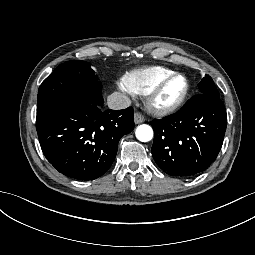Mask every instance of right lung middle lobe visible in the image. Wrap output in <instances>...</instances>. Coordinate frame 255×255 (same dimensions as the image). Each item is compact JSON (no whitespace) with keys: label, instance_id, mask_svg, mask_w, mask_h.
<instances>
[{"label":"right lung middle lobe","instance_id":"right-lung-middle-lobe-1","mask_svg":"<svg viewBox=\"0 0 255 255\" xmlns=\"http://www.w3.org/2000/svg\"><path fill=\"white\" fill-rule=\"evenodd\" d=\"M80 95L102 104L101 83L90 63L71 60L59 65L39 87L37 109L64 95Z\"/></svg>","mask_w":255,"mask_h":255}]
</instances>
